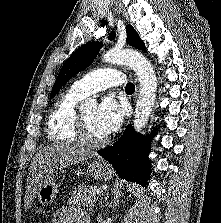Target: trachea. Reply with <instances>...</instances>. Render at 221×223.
I'll return each mask as SVG.
<instances>
[{"label": "trachea", "instance_id": "1", "mask_svg": "<svg viewBox=\"0 0 221 223\" xmlns=\"http://www.w3.org/2000/svg\"><path fill=\"white\" fill-rule=\"evenodd\" d=\"M125 90H126V92H134V90H135L134 84L131 82L127 83Z\"/></svg>", "mask_w": 221, "mask_h": 223}]
</instances>
